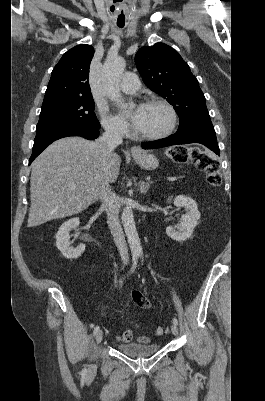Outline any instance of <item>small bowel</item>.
<instances>
[{"label": "small bowel", "mask_w": 265, "mask_h": 401, "mask_svg": "<svg viewBox=\"0 0 265 401\" xmlns=\"http://www.w3.org/2000/svg\"><path fill=\"white\" fill-rule=\"evenodd\" d=\"M131 296H132V299L135 301V303L138 306L145 308V309L149 307V302L140 292L133 290L131 293ZM124 332H126V333H124ZM124 332L117 337L119 341L127 343L134 339V336L131 331L127 330ZM136 340L139 342H143V343L150 342V339L145 336L138 337Z\"/></svg>", "instance_id": "c3829d8e"}]
</instances>
